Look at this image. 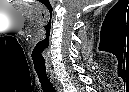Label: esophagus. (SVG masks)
Returning <instances> with one entry per match:
<instances>
[{
	"label": "esophagus",
	"instance_id": "obj_1",
	"mask_svg": "<svg viewBox=\"0 0 129 92\" xmlns=\"http://www.w3.org/2000/svg\"><path fill=\"white\" fill-rule=\"evenodd\" d=\"M51 81L57 92H62V86L56 76L50 74Z\"/></svg>",
	"mask_w": 129,
	"mask_h": 92
}]
</instances>
